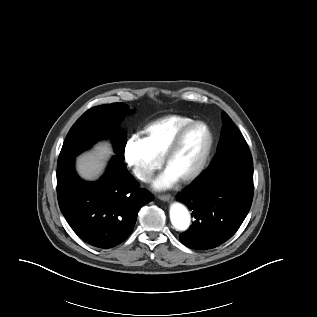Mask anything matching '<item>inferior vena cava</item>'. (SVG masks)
<instances>
[{
  "mask_svg": "<svg viewBox=\"0 0 317 317\" xmlns=\"http://www.w3.org/2000/svg\"><path fill=\"white\" fill-rule=\"evenodd\" d=\"M134 172L135 175L143 182H150L153 179L152 171H142L140 169H135Z\"/></svg>",
  "mask_w": 317,
  "mask_h": 317,
  "instance_id": "inferior-vena-cava-1",
  "label": "inferior vena cava"
}]
</instances>
